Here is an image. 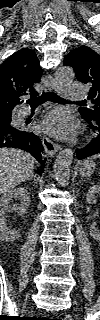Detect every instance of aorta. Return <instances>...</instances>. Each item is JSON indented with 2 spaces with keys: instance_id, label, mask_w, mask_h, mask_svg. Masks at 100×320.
Masks as SVG:
<instances>
[{
  "instance_id": "1",
  "label": "aorta",
  "mask_w": 100,
  "mask_h": 320,
  "mask_svg": "<svg viewBox=\"0 0 100 320\" xmlns=\"http://www.w3.org/2000/svg\"><path fill=\"white\" fill-rule=\"evenodd\" d=\"M75 73L71 67L61 66L55 73L56 81L61 85H68L73 82ZM74 151L70 148L62 150L54 163V176L61 186L69 184L70 168L73 161Z\"/></svg>"
}]
</instances>
